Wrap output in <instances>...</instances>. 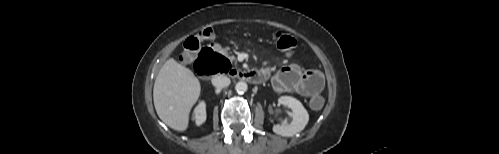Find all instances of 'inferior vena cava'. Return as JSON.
I'll use <instances>...</instances> for the list:
<instances>
[{
    "instance_id": "inferior-vena-cava-1",
    "label": "inferior vena cava",
    "mask_w": 499,
    "mask_h": 154,
    "mask_svg": "<svg viewBox=\"0 0 499 154\" xmlns=\"http://www.w3.org/2000/svg\"><path fill=\"white\" fill-rule=\"evenodd\" d=\"M230 82V79L224 75H217L212 78V84L217 88L227 87Z\"/></svg>"
}]
</instances>
